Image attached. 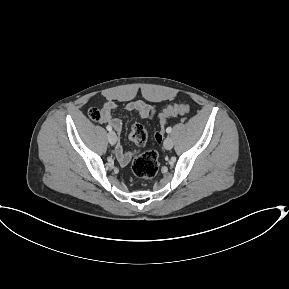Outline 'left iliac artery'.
<instances>
[{"label":"left iliac artery","instance_id":"left-iliac-artery-1","mask_svg":"<svg viewBox=\"0 0 289 289\" xmlns=\"http://www.w3.org/2000/svg\"><path fill=\"white\" fill-rule=\"evenodd\" d=\"M171 131H172V128H171V127H168V128L166 129V132H167V133H171Z\"/></svg>","mask_w":289,"mask_h":289}]
</instances>
